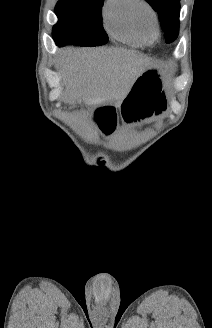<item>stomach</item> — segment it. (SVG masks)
<instances>
[{
  "instance_id": "obj_1",
  "label": "stomach",
  "mask_w": 212,
  "mask_h": 328,
  "mask_svg": "<svg viewBox=\"0 0 212 328\" xmlns=\"http://www.w3.org/2000/svg\"><path fill=\"white\" fill-rule=\"evenodd\" d=\"M165 98L162 71L160 67L153 66L139 74L122 102H110L109 105L93 102L85 110L84 117L88 120L95 115L99 121L90 122V127L99 128L98 134L106 135L109 140L117 132L114 128H120L121 124H138L141 120L161 116L166 109Z\"/></svg>"
}]
</instances>
